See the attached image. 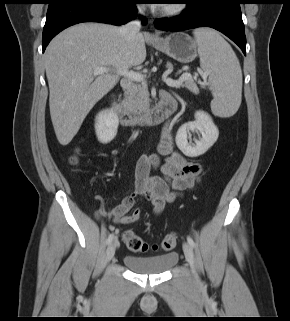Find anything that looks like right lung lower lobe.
Masks as SVG:
<instances>
[{"instance_id": "obj_1", "label": "right lung lower lobe", "mask_w": 290, "mask_h": 321, "mask_svg": "<svg viewBox=\"0 0 290 321\" xmlns=\"http://www.w3.org/2000/svg\"><path fill=\"white\" fill-rule=\"evenodd\" d=\"M140 0H51L43 29V51L59 32L81 22L122 25L135 18ZM146 21H144L145 23Z\"/></svg>"}]
</instances>
